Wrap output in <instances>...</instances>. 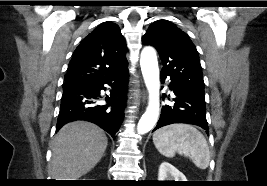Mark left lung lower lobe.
<instances>
[{"instance_id":"obj_1","label":"left lung lower lobe","mask_w":267,"mask_h":186,"mask_svg":"<svg viewBox=\"0 0 267 186\" xmlns=\"http://www.w3.org/2000/svg\"><path fill=\"white\" fill-rule=\"evenodd\" d=\"M167 77L161 74L162 82ZM169 88L175 95L173 99L175 103L172 106L165 105L162 107L160 118L153 131L174 123L193 124L208 131L204 93L189 88L171 78Z\"/></svg>"}]
</instances>
